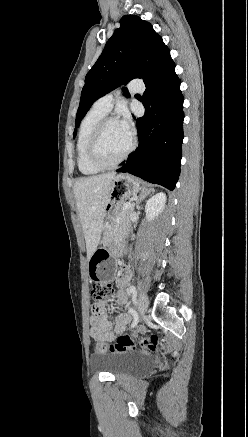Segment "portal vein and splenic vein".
Listing matches in <instances>:
<instances>
[{
    "instance_id": "portal-vein-and-splenic-vein-1",
    "label": "portal vein and splenic vein",
    "mask_w": 248,
    "mask_h": 437,
    "mask_svg": "<svg viewBox=\"0 0 248 437\" xmlns=\"http://www.w3.org/2000/svg\"><path fill=\"white\" fill-rule=\"evenodd\" d=\"M130 206H131V203H126V204L124 205L123 209L128 208V207H130Z\"/></svg>"
}]
</instances>
